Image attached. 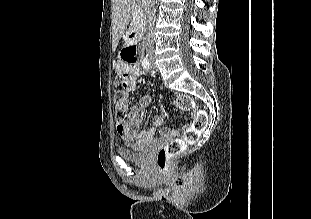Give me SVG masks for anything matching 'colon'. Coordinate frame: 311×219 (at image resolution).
<instances>
[{
	"label": "colon",
	"instance_id": "obj_1",
	"mask_svg": "<svg viewBox=\"0 0 311 219\" xmlns=\"http://www.w3.org/2000/svg\"><path fill=\"white\" fill-rule=\"evenodd\" d=\"M124 58L132 63L136 61V55L131 51H128ZM115 83L124 89L126 87L125 76H120L119 79L115 80ZM114 102L115 119L118 122L124 121L127 115L128 100L123 90L115 92ZM176 105L180 110L192 111L193 119L191 124L184 129L183 138L173 139L167 146L158 151L156 162L161 172H167L170 169L171 161L185 150L186 144H194L199 140L208 123L206 111L198 109L191 96L180 94L177 97Z\"/></svg>",
	"mask_w": 311,
	"mask_h": 219
}]
</instances>
